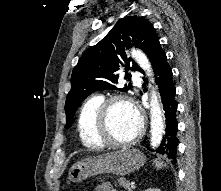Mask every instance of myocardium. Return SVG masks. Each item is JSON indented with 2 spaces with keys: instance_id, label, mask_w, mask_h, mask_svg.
Returning a JSON list of instances; mask_svg holds the SVG:
<instances>
[{
  "instance_id": "myocardium-1",
  "label": "myocardium",
  "mask_w": 221,
  "mask_h": 191,
  "mask_svg": "<svg viewBox=\"0 0 221 191\" xmlns=\"http://www.w3.org/2000/svg\"><path fill=\"white\" fill-rule=\"evenodd\" d=\"M124 103L135 110L139 117V127L135 135L126 141H116L110 134V112L115 104ZM144 116L135 100L127 95H114L104 100L97 113V136L102 146L125 148L136 144L144 133Z\"/></svg>"
}]
</instances>
